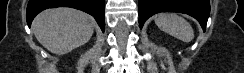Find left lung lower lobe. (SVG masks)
<instances>
[{
    "instance_id": "left-lung-lower-lobe-1",
    "label": "left lung lower lobe",
    "mask_w": 244,
    "mask_h": 73,
    "mask_svg": "<svg viewBox=\"0 0 244 73\" xmlns=\"http://www.w3.org/2000/svg\"><path fill=\"white\" fill-rule=\"evenodd\" d=\"M159 12H180L197 19L203 30L210 14L209 0H139V26Z\"/></svg>"
}]
</instances>
